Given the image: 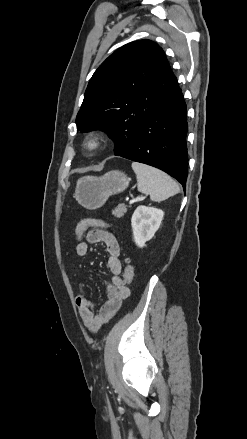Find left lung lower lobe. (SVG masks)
I'll return each instance as SVG.
<instances>
[{
  "instance_id": "left-lung-lower-lobe-1",
  "label": "left lung lower lobe",
  "mask_w": 247,
  "mask_h": 439,
  "mask_svg": "<svg viewBox=\"0 0 247 439\" xmlns=\"http://www.w3.org/2000/svg\"><path fill=\"white\" fill-rule=\"evenodd\" d=\"M186 133V105L177 85L141 121L129 148L115 155L159 168L177 179L185 189Z\"/></svg>"
}]
</instances>
